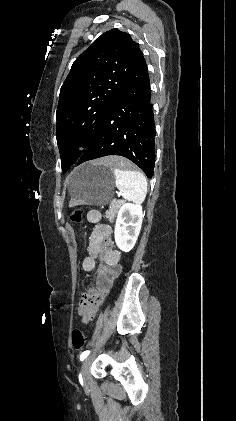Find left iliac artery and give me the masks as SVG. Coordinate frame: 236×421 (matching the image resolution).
I'll use <instances>...</instances> for the list:
<instances>
[{"mask_svg":"<svg viewBox=\"0 0 236 421\" xmlns=\"http://www.w3.org/2000/svg\"><path fill=\"white\" fill-rule=\"evenodd\" d=\"M90 351H84L81 355H80V360L83 361L88 355H89Z\"/></svg>","mask_w":236,"mask_h":421,"instance_id":"left-iliac-artery-1","label":"left iliac artery"}]
</instances>
